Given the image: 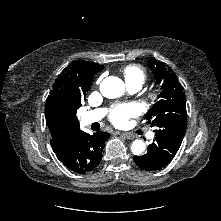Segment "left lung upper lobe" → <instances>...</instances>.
<instances>
[{"mask_svg": "<svg viewBox=\"0 0 221 221\" xmlns=\"http://www.w3.org/2000/svg\"><path fill=\"white\" fill-rule=\"evenodd\" d=\"M149 67L155 74L158 83H162L159 101L146 113L155 136L182 143L187 127L186 101L183 88L177 76L164 64L150 59Z\"/></svg>", "mask_w": 221, "mask_h": 221, "instance_id": "obj_1", "label": "left lung upper lobe"}]
</instances>
